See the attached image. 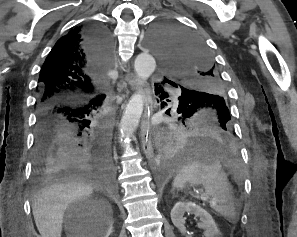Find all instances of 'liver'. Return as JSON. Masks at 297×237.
<instances>
[{"mask_svg":"<svg viewBox=\"0 0 297 237\" xmlns=\"http://www.w3.org/2000/svg\"><path fill=\"white\" fill-rule=\"evenodd\" d=\"M87 178L72 176L39 190L33 197L32 212L41 237H61L64 213L70 203L93 193Z\"/></svg>","mask_w":297,"mask_h":237,"instance_id":"obj_1","label":"liver"}]
</instances>
